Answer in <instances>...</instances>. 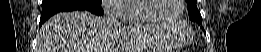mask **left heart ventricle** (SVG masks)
<instances>
[{
    "mask_svg": "<svg viewBox=\"0 0 261 52\" xmlns=\"http://www.w3.org/2000/svg\"><path fill=\"white\" fill-rule=\"evenodd\" d=\"M178 0H156L148 9V13L156 18L172 20L179 14Z\"/></svg>",
    "mask_w": 261,
    "mask_h": 52,
    "instance_id": "b2bd125f",
    "label": "left heart ventricle"
}]
</instances>
